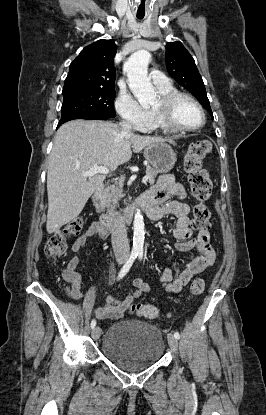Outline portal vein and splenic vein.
<instances>
[{"instance_id": "1", "label": "portal vein and splenic vein", "mask_w": 266, "mask_h": 415, "mask_svg": "<svg viewBox=\"0 0 266 415\" xmlns=\"http://www.w3.org/2000/svg\"><path fill=\"white\" fill-rule=\"evenodd\" d=\"M110 172V170L107 167L104 166H94L91 169H89L88 171H86L85 173L82 174L83 177H88L91 178L96 174H108ZM149 179V176L146 175L143 177L142 179V183H146Z\"/></svg>"}]
</instances>
